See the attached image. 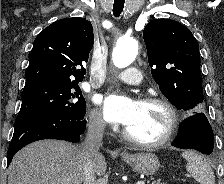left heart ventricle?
<instances>
[{
    "instance_id": "left-heart-ventricle-1",
    "label": "left heart ventricle",
    "mask_w": 224,
    "mask_h": 184,
    "mask_svg": "<svg viewBox=\"0 0 224 184\" xmlns=\"http://www.w3.org/2000/svg\"><path fill=\"white\" fill-rule=\"evenodd\" d=\"M168 121V114L162 106L139 102L137 114L127 129L135 138L155 141L165 133Z\"/></svg>"
}]
</instances>
